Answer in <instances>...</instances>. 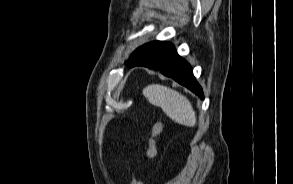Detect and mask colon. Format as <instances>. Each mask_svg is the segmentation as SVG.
Instances as JSON below:
<instances>
[{
  "instance_id": "obj_1",
  "label": "colon",
  "mask_w": 293,
  "mask_h": 184,
  "mask_svg": "<svg viewBox=\"0 0 293 184\" xmlns=\"http://www.w3.org/2000/svg\"><path fill=\"white\" fill-rule=\"evenodd\" d=\"M162 132V123L160 120L155 119L154 124L148 139V149L145 153V157L148 159L154 158L157 153V138ZM131 184H144L136 175L132 173Z\"/></svg>"
}]
</instances>
